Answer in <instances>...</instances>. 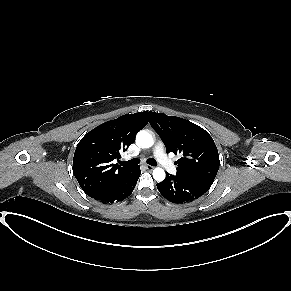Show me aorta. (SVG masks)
Instances as JSON below:
<instances>
[{"label":"aorta","instance_id":"aorta-1","mask_svg":"<svg viewBox=\"0 0 291 291\" xmlns=\"http://www.w3.org/2000/svg\"><path fill=\"white\" fill-rule=\"evenodd\" d=\"M136 140L143 148H150L154 143L152 135L144 130L137 133ZM153 178L158 182L163 181L165 179V171L159 167L155 168L153 170Z\"/></svg>","mask_w":291,"mask_h":291}]
</instances>
